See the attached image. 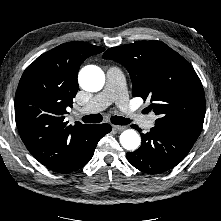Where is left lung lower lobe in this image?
Wrapping results in <instances>:
<instances>
[{"instance_id": "1", "label": "left lung lower lobe", "mask_w": 221, "mask_h": 221, "mask_svg": "<svg viewBox=\"0 0 221 221\" xmlns=\"http://www.w3.org/2000/svg\"><path fill=\"white\" fill-rule=\"evenodd\" d=\"M132 127L137 128L136 125ZM141 137L140 148L126 156L135 168L148 174L172 169L186 157L196 142V139L157 126L149 133H141Z\"/></svg>"}]
</instances>
